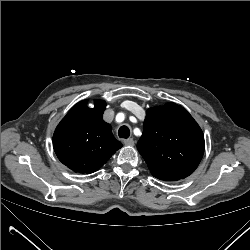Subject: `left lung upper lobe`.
<instances>
[{
    "mask_svg": "<svg viewBox=\"0 0 250 250\" xmlns=\"http://www.w3.org/2000/svg\"><path fill=\"white\" fill-rule=\"evenodd\" d=\"M204 135L183 107L169 102L146 111L137 149L152 175L176 181L191 175L204 153Z\"/></svg>",
    "mask_w": 250,
    "mask_h": 250,
    "instance_id": "1",
    "label": "left lung upper lobe"
}]
</instances>
